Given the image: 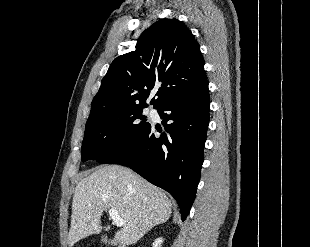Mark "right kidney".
I'll return each instance as SVG.
<instances>
[{
    "label": "right kidney",
    "instance_id": "obj_1",
    "mask_svg": "<svg viewBox=\"0 0 310 247\" xmlns=\"http://www.w3.org/2000/svg\"><path fill=\"white\" fill-rule=\"evenodd\" d=\"M163 243V239L162 238H158L154 241L153 246L152 247H161V244Z\"/></svg>",
    "mask_w": 310,
    "mask_h": 247
}]
</instances>
